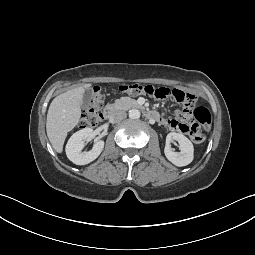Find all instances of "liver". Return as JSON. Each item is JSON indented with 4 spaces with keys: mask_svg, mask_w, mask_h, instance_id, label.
<instances>
[{
    "mask_svg": "<svg viewBox=\"0 0 255 255\" xmlns=\"http://www.w3.org/2000/svg\"><path fill=\"white\" fill-rule=\"evenodd\" d=\"M90 86L85 84L68 90L55 97L49 106L46 131L52 147L58 153L63 151L68 132L79 123L83 93Z\"/></svg>",
    "mask_w": 255,
    "mask_h": 255,
    "instance_id": "liver-1",
    "label": "liver"
}]
</instances>
